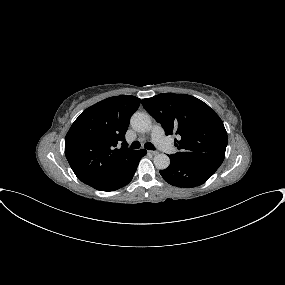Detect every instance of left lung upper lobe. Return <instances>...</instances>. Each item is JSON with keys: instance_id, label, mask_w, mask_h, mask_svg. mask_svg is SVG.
Masks as SVG:
<instances>
[{"instance_id": "1", "label": "left lung upper lobe", "mask_w": 285, "mask_h": 285, "mask_svg": "<svg viewBox=\"0 0 285 285\" xmlns=\"http://www.w3.org/2000/svg\"><path fill=\"white\" fill-rule=\"evenodd\" d=\"M146 111L162 125L165 134L176 132L178 152L172 157L219 168L227 146L220 117L203 101L187 95L165 93L142 100Z\"/></svg>"}]
</instances>
